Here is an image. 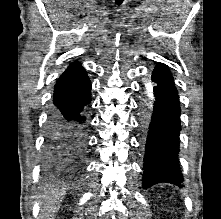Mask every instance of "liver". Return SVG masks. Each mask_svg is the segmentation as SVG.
Wrapping results in <instances>:
<instances>
[{
  "mask_svg": "<svg viewBox=\"0 0 221 219\" xmlns=\"http://www.w3.org/2000/svg\"><path fill=\"white\" fill-rule=\"evenodd\" d=\"M63 191L50 190L42 194V212L45 219H50L59 210V206L63 200Z\"/></svg>",
  "mask_w": 221,
  "mask_h": 219,
  "instance_id": "1",
  "label": "liver"
}]
</instances>
